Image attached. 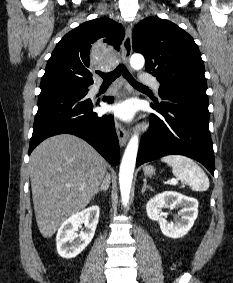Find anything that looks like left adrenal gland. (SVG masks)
Returning a JSON list of instances; mask_svg holds the SVG:
<instances>
[{
    "label": "left adrenal gland",
    "mask_w": 233,
    "mask_h": 283,
    "mask_svg": "<svg viewBox=\"0 0 233 283\" xmlns=\"http://www.w3.org/2000/svg\"><path fill=\"white\" fill-rule=\"evenodd\" d=\"M143 182H144V185H143V188H142V190H141V193H142V194H144V192H145V190H146L147 188L150 189V190H152L151 186L147 185V180H146V179H144Z\"/></svg>",
    "instance_id": "left-adrenal-gland-1"
}]
</instances>
